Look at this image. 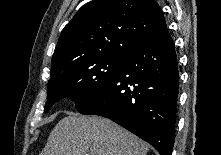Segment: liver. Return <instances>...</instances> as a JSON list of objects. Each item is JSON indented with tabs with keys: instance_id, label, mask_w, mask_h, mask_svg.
<instances>
[{
	"instance_id": "obj_1",
	"label": "liver",
	"mask_w": 221,
	"mask_h": 155,
	"mask_svg": "<svg viewBox=\"0 0 221 155\" xmlns=\"http://www.w3.org/2000/svg\"><path fill=\"white\" fill-rule=\"evenodd\" d=\"M148 146L111 120L98 116L61 119L40 155H146Z\"/></svg>"
}]
</instances>
